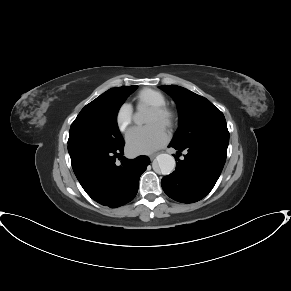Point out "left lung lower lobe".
I'll return each instance as SVG.
<instances>
[{"label": "left lung lower lobe", "instance_id": "left-lung-lower-lobe-1", "mask_svg": "<svg viewBox=\"0 0 291 291\" xmlns=\"http://www.w3.org/2000/svg\"><path fill=\"white\" fill-rule=\"evenodd\" d=\"M229 139H207L185 146L169 145L180 153L188 151L179 160L173 173L163 177L164 192L182 203H193L204 198L217 182L226 161ZM175 156V155H174ZM175 159H177L175 157Z\"/></svg>", "mask_w": 291, "mask_h": 291}]
</instances>
